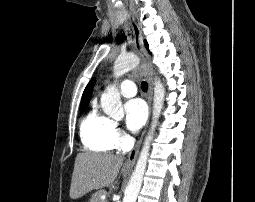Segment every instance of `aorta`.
Wrapping results in <instances>:
<instances>
[{"instance_id":"1","label":"aorta","mask_w":255,"mask_h":202,"mask_svg":"<svg viewBox=\"0 0 255 202\" xmlns=\"http://www.w3.org/2000/svg\"><path fill=\"white\" fill-rule=\"evenodd\" d=\"M140 63L139 57L134 54L119 56L114 63V75L119 77L127 71L134 69ZM165 98V89L160 79L154 81L153 117L150 131L145 138L134 172L126 187L123 202H136L137 196L142 186L144 173L149 156L150 143L157 126ZM101 105L104 112L111 118L119 119L123 117V107L120 99V92L117 84L110 86L101 96Z\"/></svg>"}]
</instances>
